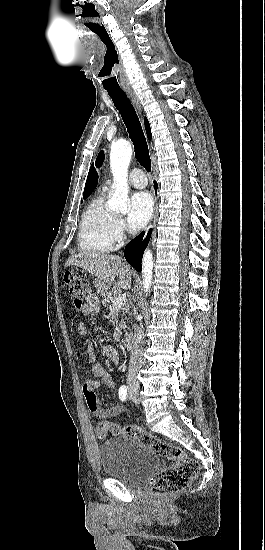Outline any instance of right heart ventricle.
<instances>
[{
	"instance_id": "1",
	"label": "right heart ventricle",
	"mask_w": 265,
	"mask_h": 550,
	"mask_svg": "<svg viewBox=\"0 0 265 550\" xmlns=\"http://www.w3.org/2000/svg\"><path fill=\"white\" fill-rule=\"evenodd\" d=\"M115 222L116 215L105 205L104 192L95 196L86 207L80 221V249L90 252L109 251L117 239Z\"/></svg>"
}]
</instances>
